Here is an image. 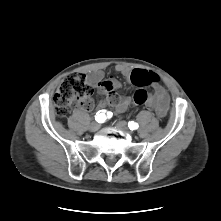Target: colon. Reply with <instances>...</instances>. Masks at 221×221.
Instances as JSON below:
<instances>
[{
	"mask_svg": "<svg viewBox=\"0 0 221 221\" xmlns=\"http://www.w3.org/2000/svg\"><path fill=\"white\" fill-rule=\"evenodd\" d=\"M131 80L138 87H145V84L155 83L159 77L155 73H146L140 70H134L131 74ZM92 89L87 83L85 77L79 73H73L66 76L54 97L55 110L58 116L64 117L70 109L81 104L85 109L92 105ZM137 105L145 104L148 100V92L144 88H139L133 96Z\"/></svg>",
	"mask_w": 221,
	"mask_h": 221,
	"instance_id": "1",
	"label": "colon"
}]
</instances>
